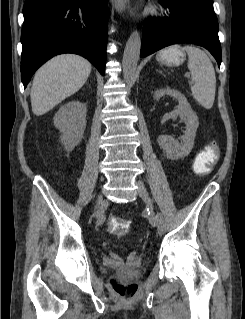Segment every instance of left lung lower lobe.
Returning a JSON list of instances; mask_svg holds the SVG:
<instances>
[{"instance_id": "left-lung-lower-lobe-1", "label": "left lung lower lobe", "mask_w": 245, "mask_h": 319, "mask_svg": "<svg viewBox=\"0 0 245 319\" xmlns=\"http://www.w3.org/2000/svg\"><path fill=\"white\" fill-rule=\"evenodd\" d=\"M169 16L149 18L143 25L140 56H148L171 44L191 43L205 47L221 64L218 21L213 11L192 0H160Z\"/></svg>"}]
</instances>
